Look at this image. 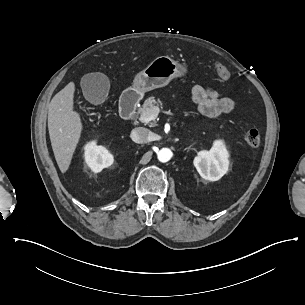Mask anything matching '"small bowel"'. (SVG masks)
Instances as JSON below:
<instances>
[{
	"instance_id": "1",
	"label": "small bowel",
	"mask_w": 305,
	"mask_h": 305,
	"mask_svg": "<svg viewBox=\"0 0 305 305\" xmlns=\"http://www.w3.org/2000/svg\"><path fill=\"white\" fill-rule=\"evenodd\" d=\"M191 101L207 117L230 113L235 109V101L225 97L210 87L195 85L191 90Z\"/></svg>"
}]
</instances>
